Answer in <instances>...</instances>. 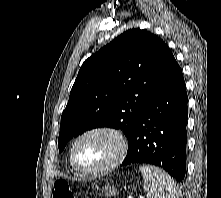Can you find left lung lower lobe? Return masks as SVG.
<instances>
[{"instance_id": "1", "label": "left lung lower lobe", "mask_w": 221, "mask_h": 198, "mask_svg": "<svg viewBox=\"0 0 221 198\" xmlns=\"http://www.w3.org/2000/svg\"><path fill=\"white\" fill-rule=\"evenodd\" d=\"M187 93L174 59L169 72L143 108L122 165L148 163L181 181L186 170Z\"/></svg>"}]
</instances>
